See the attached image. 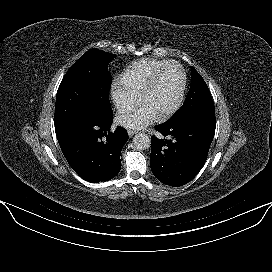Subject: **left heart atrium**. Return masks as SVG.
I'll return each mask as SVG.
<instances>
[{"label":"left heart atrium","mask_w":272,"mask_h":272,"mask_svg":"<svg viewBox=\"0 0 272 272\" xmlns=\"http://www.w3.org/2000/svg\"><path fill=\"white\" fill-rule=\"evenodd\" d=\"M158 115L147 104L141 103L136 108L122 113L118 122L127 128L141 129L152 123Z\"/></svg>","instance_id":"39dd6f15"}]
</instances>
